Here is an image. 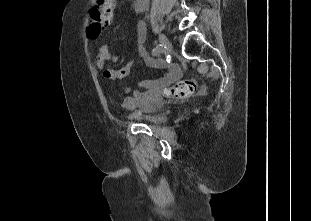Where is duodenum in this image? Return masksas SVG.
<instances>
[{"label":"duodenum","mask_w":311,"mask_h":221,"mask_svg":"<svg viewBox=\"0 0 311 221\" xmlns=\"http://www.w3.org/2000/svg\"><path fill=\"white\" fill-rule=\"evenodd\" d=\"M150 0H135V8L139 11L144 9L148 4Z\"/></svg>","instance_id":"1"}]
</instances>
